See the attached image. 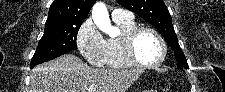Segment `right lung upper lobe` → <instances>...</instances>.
Wrapping results in <instances>:
<instances>
[{"mask_svg":"<svg viewBox=\"0 0 225 92\" xmlns=\"http://www.w3.org/2000/svg\"><path fill=\"white\" fill-rule=\"evenodd\" d=\"M96 0H54L45 25L84 21Z\"/></svg>","mask_w":225,"mask_h":92,"instance_id":"obj_1","label":"right lung upper lobe"}]
</instances>
